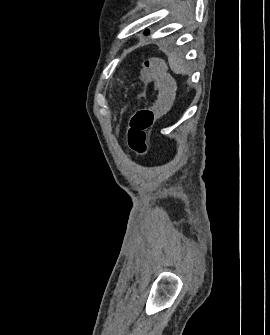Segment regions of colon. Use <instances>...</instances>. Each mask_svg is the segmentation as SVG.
Instances as JSON below:
<instances>
[{
	"label": "colon",
	"mask_w": 270,
	"mask_h": 335,
	"mask_svg": "<svg viewBox=\"0 0 270 335\" xmlns=\"http://www.w3.org/2000/svg\"><path fill=\"white\" fill-rule=\"evenodd\" d=\"M166 63L161 57H150L143 60L140 67V78L151 86L160 89L159 97L153 106L142 107L129 117L126 140L129 149L138 156H143L148 150V131L154 127L156 119L168 115L167 109H175L174 72H164ZM156 109V110H155Z\"/></svg>",
	"instance_id": "5ec220e1"
}]
</instances>
